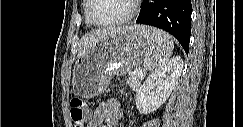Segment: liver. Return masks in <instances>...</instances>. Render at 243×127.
Segmentation results:
<instances>
[{"mask_svg": "<svg viewBox=\"0 0 243 127\" xmlns=\"http://www.w3.org/2000/svg\"><path fill=\"white\" fill-rule=\"evenodd\" d=\"M132 27L116 28L111 30H97L89 35H86L80 41L79 55L82 56L89 52L92 46L100 39L107 37L108 35H113L118 31L125 30Z\"/></svg>", "mask_w": 243, "mask_h": 127, "instance_id": "liver-1", "label": "liver"}]
</instances>
